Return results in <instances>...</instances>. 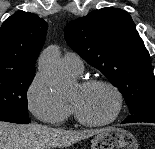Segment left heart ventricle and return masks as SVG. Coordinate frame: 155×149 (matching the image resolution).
Instances as JSON below:
<instances>
[{"mask_svg": "<svg viewBox=\"0 0 155 149\" xmlns=\"http://www.w3.org/2000/svg\"><path fill=\"white\" fill-rule=\"evenodd\" d=\"M70 103L91 121H104L112 116L115 109V97L104 86L82 88L78 85L71 95Z\"/></svg>", "mask_w": 155, "mask_h": 149, "instance_id": "obj_1", "label": "left heart ventricle"}]
</instances>
